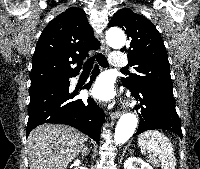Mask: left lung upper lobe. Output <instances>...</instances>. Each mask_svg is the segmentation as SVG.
I'll return each instance as SVG.
<instances>
[{
  "label": "left lung upper lobe",
  "instance_id": "1",
  "mask_svg": "<svg viewBox=\"0 0 200 169\" xmlns=\"http://www.w3.org/2000/svg\"><path fill=\"white\" fill-rule=\"evenodd\" d=\"M108 26L121 27L128 39H131L129 49L123 47L121 51H128L129 64L134 66L137 74L122 77L125 87L131 91L146 85L172 89L170 66L163 40L147 18L129 8H123L113 16Z\"/></svg>",
  "mask_w": 200,
  "mask_h": 169
}]
</instances>
